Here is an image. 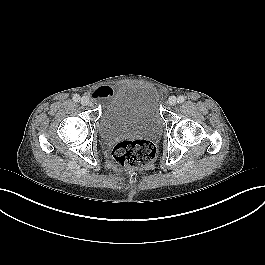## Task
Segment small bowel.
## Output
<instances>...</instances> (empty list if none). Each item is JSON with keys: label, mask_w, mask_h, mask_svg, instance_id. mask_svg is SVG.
<instances>
[{"label": "small bowel", "mask_w": 265, "mask_h": 265, "mask_svg": "<svg viewBox=\"0 0 265 265\" xmlns=\"http://www.w3.org/2000/svg\"><path fill=\"white\" fill-rule=\"evenodd\" d=\"M113 93H114V89L111 86L104 85V86L98 87L93 92V97L96 99L104 100V99H107Z\"/></svg>", "instance_id": "obj_1"}]
</instances>
